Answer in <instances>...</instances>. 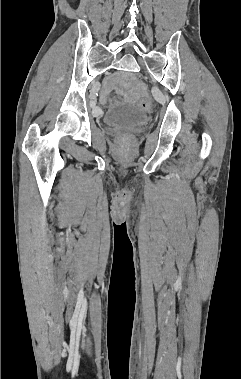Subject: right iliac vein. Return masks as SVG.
<instances>
[{"label": "right iliac vein", "instance_id": "obj_1", "mask_svg": "<svg viewBox=\"0 0 241 379\" xmlns=\"http://www.w3.org/2000/svg\"><path fill=\"white\" fill-rule=\"evenodd\" d=\"M94 111H95V113H98L99 110H98V108H95Z\"/></svg>", "mask_w": 241, "mask_h": 379}]
</instances>
